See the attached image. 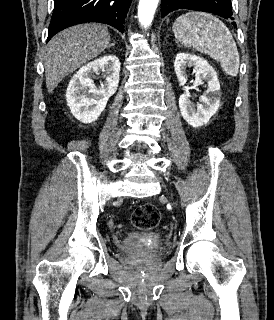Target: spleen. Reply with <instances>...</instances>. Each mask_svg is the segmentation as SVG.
Returning <instances> with one entry per match:
<instances>
[{
  "label": "spleen",
  "instance_id": "obj_1",
  "mask_svg": "<svg viewBox=\"0 0 274 320\" xmlns=\"http://www.w3.org/2000/svg\"><path fill=\"white\" fill-rule=\"evenodd\" d=\"M173 34L184 46H193L201 54H208L220 62L228 76H237L240 58L233 36L216 16L205 12H188L175 20Z\"/></svg>",
  "mask_w": 274,
  "mask_h": 320
}]
</instances>
